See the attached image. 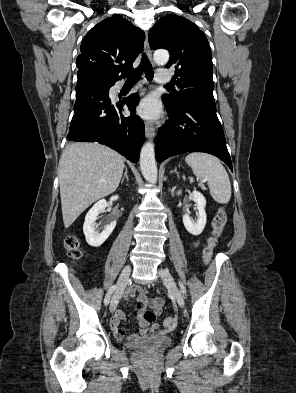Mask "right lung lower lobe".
Returning a JSON list of instances; mask_svg holds the SVG:
<instances>
[{"label": "right lung lower lobe", "instance_id": "98d812e1", "mask_svg": "<svg viewBox=\"0 0 296 393\" xmlns=\"http://www.w3.org/2000/svg\"><path fill=\"white\" fill-rule=\"evenodd\" d=\"M77 78L75 114L67 138L70 141L105 144L131 162H138L144 141V123L135 115L139 101L137 94L111 103L109 90L104 89L92 75L77 73ZM124 105L130 109V117L122 115Z\"/></svg>", "mask_w": 296, "mask_h": 393}]
</instances>
